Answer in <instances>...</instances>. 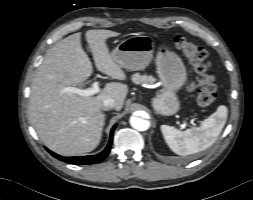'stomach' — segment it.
Returning <instances> with one entry per match:
<instances>
[{
  "label": "stomach",
  "mask_w": 253,
  "mask_h": 200,
  "mask_svg": "<svg viewBox=\"0 0 253 200\" xmlns=\"http://www.w3.org/2000/svg\"><path fill=\"white\" fill-rule=\"evenodd\" d=\"M153 51L152 40L148 36L139 35L121 41L111 52V57L121 68L139 70L151 62ZM156 66L163 89L153 99L152 106L157 113L170 116L179 110L176 91L186 82V68L181 58L166 47L159 49Z\"/></svg>",
  "instance_id": "1"
}]
</instances>
